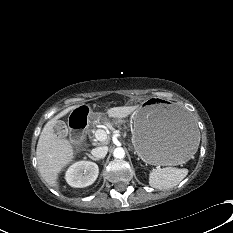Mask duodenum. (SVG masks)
I'll use <instances>...</instances> for the list:
<instances>
[{"label": "duodenum", "mask_w": 233, "mask_h": 233, "mask_svg": "<svg viewBox=\"0 0 233 233\" xmlns=\"http://www.w3.org/2000/svg\"><path fill=\"white\" fill-rule=\"evenodd\" d=\"M90 108L86 104H79L71 116L70 129L75 138H82L86 134L89 122Z\"/></svg>", "instance_id": "410a0bca"}]
</instances>
